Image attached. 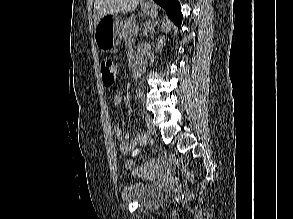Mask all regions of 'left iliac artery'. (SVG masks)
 <instances>
[{"label":"left iliac artery","instance_id":"44dca946","mask_svg":"<svg viewBox=\"0 0 293 219\" xmlns=\"http://www.w3.org/2000/svg\"><path fill=\"white\" fill-rule=\"evenodd\" d=\"M137 95H138L141 99L144 98V93H143V91H141L140 89L137 91Z\"/></svg>","mask_w":293,"mask_h":219}]
</instances>
